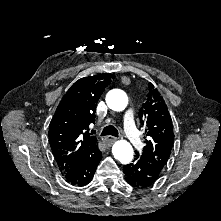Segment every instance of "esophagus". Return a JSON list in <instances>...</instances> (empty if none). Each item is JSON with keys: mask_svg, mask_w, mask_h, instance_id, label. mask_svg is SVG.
<instances>
[{"mask_svg": "<svg viewBox=\"0 0 221 221\" xmlns=\"http://www.w3.org/2000/svg\"><path fill=\"white\" fill-rule=\"evenodd\" d=\"M115 141H116V138H115V137L108 136V137L105 138V142H106L107 145H111V144H113Z\"/></svg>", "mask_w": 221, "mask_h": 221, "instance_id": "obj_1", "label": "esophagus"}]
</instances>
